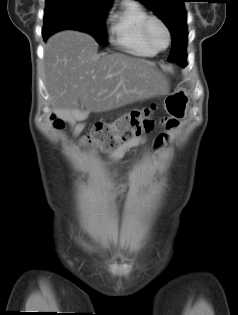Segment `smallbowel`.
<instances>
[{
  "instance_id": "small-bowel-1",
  "label": "small bowel",
  "mask_w": 238,
  "mask_h": 315,
  "mask_svg": "<svg viewBox=\"0 0 238 315\" xmlns=\"http://www.w3.org/2000/svg\"><path fill=\"white\" fill-rule=\"evenodd\" d=\"M167 126L169 128L173 127V123L168 122ZM81 125L77 124L74 127V131L75 132H79L81 130ZM146 141V137L145 136H137V137H133L132 139L118 145L116 148H114L107 156V159L110 161H116L119 160L126 151H128L129 149L133 148V147H137L139 145H142L143 143H145ZM172 142L171 140H164L163 137H154L153 140L150 141V146L151 147H171ZM121 191L123 190V188L120 189Z\"/></svg>"
}]
</instances>
